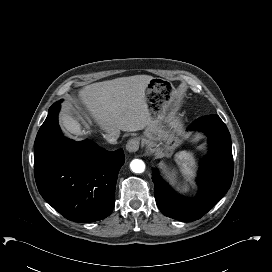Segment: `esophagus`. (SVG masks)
<instances>
[{
    "label": "esophagus",
    "mask_w": 272,
    "mask_h": 272,
    "mask_svg": "<svg viewBox=\"0 0 272 272\" xmlns=\"http://www.w3.org/2000/svg\"><path fill=\"white\" fill-rule=\"evenodd\" d=\"M140 139L138 137L130 139L126 144V149L128 152H136L139 149Z\"/></svg>",
    "instance_id": "esophagus-1"
}]
</instances>
